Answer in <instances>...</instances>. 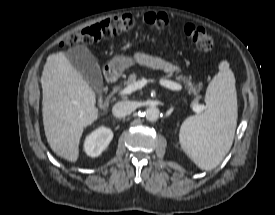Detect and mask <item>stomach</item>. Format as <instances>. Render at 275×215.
<instances>
[{
	"mask_svg": "<svg viewBox=\"0 0 275 215\" xmlns=\"http://www.w3.org/2000/svg\"><path fill=\"white\" fill-rule=\"evenodd\" d=\"M169 44L166 43L167 47ZM134 64V61L130 57H126L123 55H118L113 57L109 63L107 64L106 70L110 75H120L126 69L131 67Z\"/></svg>",
	"mask_w": 275,
	"mask_h": 215,
	"instance_id": "obj_1",
	"label": "stomach"
}]
</instances>
